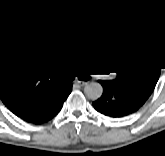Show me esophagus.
Instances as JSON below:
<instances>
[{
  "mask_svg": "<svg viewBox=\"0 0 165 156\" xmlns=\"http://www.w3.org/2000/svg\"><path fill=\"white\" fill-rule=\"evenodd\" d=\"M87 84V82H85V81H75L74 82V86H76V87H81V86H84V85H86Z\"/></svg>",
  "mask_w": 165,
  "mask_h": 156,
  "instance_id": "1",
  "label": "esophagus"
}]
</instances>
